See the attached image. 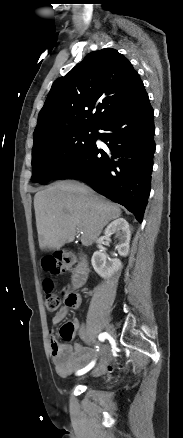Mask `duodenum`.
I'll return each mask as SVG.
<instances>
[{"label":"duodenum","mask_w":183,"mask_h":438,"mask_svg":"<svg viewBox=\"0 0 183 438\" xmlns=\"http://www.w3.org/2000/svg\"><path fill=\"white\" fill-rule=\"evenodd\" d=\"M87 272H88L87 260H86L85 256H82L79 264L77 265V267L74 271L72 284L75 287H78L79 285H81L86 278Z\"/></svg>","instance_id":"duodenum-1"}]
</instances>
